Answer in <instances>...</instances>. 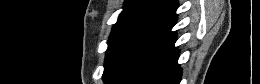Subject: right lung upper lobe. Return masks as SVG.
Returning <instances> with one entry per match:
<instances>
[{
	"label": "right lung upper lobe",
	"mask_w": 260,
	"mask_h": 84,
	"mask_svg": "<svg viewBox=\"0 0 260 84\" xmlns=\"http://www.w3.org/2000/svg\"><path fill=\"white\" fill-rule=\"evenodd\" d=\"M177 7L176 0H127L111 35L132 27L172 28Z\"/></svg>",
	"instance_id": "right-lung-upper-lobe-1"
}]
</instances>
